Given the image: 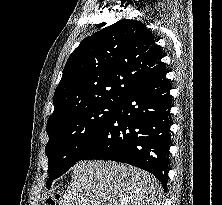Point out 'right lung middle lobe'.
I'll list each match as a JSON object with an SVG mask.
<instances>
[{
    "mask_svg": "<svg viewBox=\"0 0 222 205\" xmlns=\"http://www.w3.org/2000/svg\"><path fill=\"white\" fill-rule=\"evenodd\" d=\"M120 101L105 102L83 108L64 119L47 126L49 141L48 183L63 175L85 151L93 138L106 126Z\"/></svg>",
    "mask_w": 222,
    "mask_h": 205,
    "instance_id": "obj_1",
    "label": "right lung middle lobe"
}]
</instances>
